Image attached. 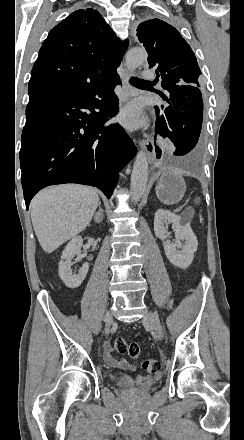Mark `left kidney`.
<instances>
[{
  "label": "left kidney",
  "mask_w": 244,
  "mask_h": 440,
  "mask_svg": "<svg viewBox=\"0 0 244 440\" xmlns=\"http://www.w3.org/2000/svg\"><path fill=\"white\" fill-rule=\"evenodd\" d=\"M168 224L173 226L176 238L175 244L165 242V238L169 236ZM154 232L159 240H163V248L169 262L177 268H189L198 248V240L192 232L189 222H185L181 216H176L169 210H157L154 218ZM180 240H185L184 244H181ZM176 248H180V250H176Z\"/></svg>",
  "instance_id": "1"
}]
</instances>
